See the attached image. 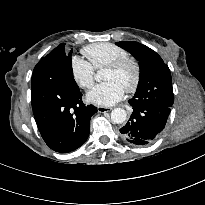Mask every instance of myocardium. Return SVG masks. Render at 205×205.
Instances as JSON below:
<instances>
[{"mask_svg":"<svg viewBox=\"0 0 205 205\" xmlns=\"http://www.w3.org/2000/svg\"><path fill=\"white\" fill-rule=\"evenodd\" d=\"M126 66H130L133 69V78L132 81L125 87L126 91L129 93H133L139 87L141 81V67L134 58L124 57L117 59L108 65L105 66V69H109L112 71H119Z\"/></svg>","mask_w":205,"mask_h":205,"instance_id":"1","label":"myocardium"}]
</instances>
